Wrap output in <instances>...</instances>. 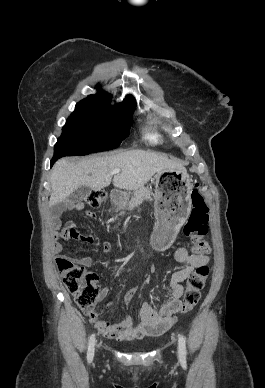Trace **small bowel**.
Masks as SVG:
<instances>
[{
    "label": "small bowel",
    "instance_id": "c3829d8e",
    "mask_svg": "<svg viewBox=\"0 0 265 388\" xmlns=\"http://www.w3.org/2000/svg\"><path fill=\"white\" fill-rule=\"evenodd\" d=\"M71 207L77 211H81L85 208V204L80 201L74 203ZM86 215L89 218L96 217L93 211H86ZM54 225L56 227L59 225L57 219H54ZM80 240L90 245H94L96 242L95 238L91 235L81 236ZM53 249L56 253H59L62 250V246L60 243L55 242ZM174 256L177 262L182 264L183 267L173 272L170 277L168 283L169 297L167 302L159 309H155L147 302L143 303L140 309V322L137 324H135L130 317H127L116 324L106 320H94L95 327L104 337L117 341L140 339L145 336L163 333L173 325L181 305L180 298L184 291L182 283L189 277L195 268L205 266L209 262V258L206 255L191 254L184 247L177 248ZM61 257L68 258L83 267L92 265V259L90 258H72L69 256H59L58 258ZM136 290V287L130 289L125 296V300L128 301ZM109 293V288L103 287L100 290L99 299H105ZM112 306V302L107 304L108 308H111Z\"/></svg>",
    "mask_w": 265,
    "mask_h": 388
}]
</instances>
